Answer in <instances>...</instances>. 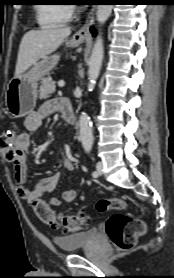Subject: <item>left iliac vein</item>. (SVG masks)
Masks as SVG:
<instances>
[{
  "label": "left iliac vein",
  "instance_id": "left-iliac-vein-1",
  "mask_svg": "<svg viewBox=\"0 0 174 278\" xmlns=\"http://www.w3.org/2000/svg\"><path fill=\"white\" fill-rule=\"evenodd\" d=\"M102 169H103V164H102V162L99 161V162L96 164V170H97L98 175H101V174H102Z\"/></svg>",
  "mask_w": 174,
  "mask_h": 278
}]
</instances>
